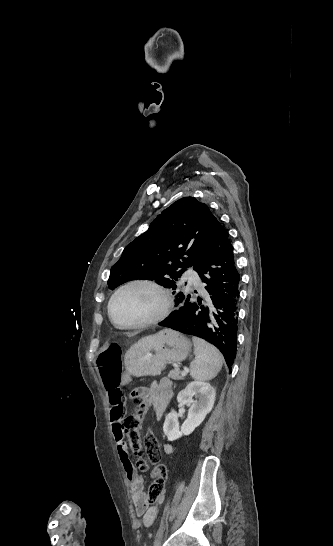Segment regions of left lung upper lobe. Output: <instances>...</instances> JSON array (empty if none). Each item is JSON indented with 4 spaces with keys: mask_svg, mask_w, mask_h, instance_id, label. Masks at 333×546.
Returning <instances> with one entry per match:
<instances>
[{
    "mask_svg": "<svg viewBox=\"0 0 333 546\" xmlns=\"http://www.w3.org/2000/svg\"><path fill=\"white\" fill-rule=\"evenodd\" d=\"M217 223L206 204L193 197L179 199L125 247L111 268L110 289L130 280L150 279L175 290L185 268H194L207 252Z\"/></svg>",
    "mask_w": 333,
    "mask_h": 546,
    "instance_id": "left-lung-upper-lobe-1",
    "label": "left lung upper lobe"
}]
</instances>
